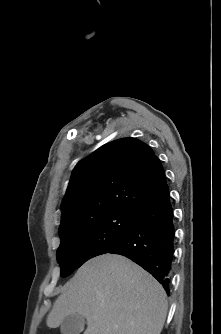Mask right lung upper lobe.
I'll list each match as a JSON object with an SVG mask.
<instances>
[{"mask_svg":"<svg viewBox=\"0 0 221 334\" xmlns=\"http://www.w3.org/2000/svg\"><path fill=\"white\" fill-rule=\"evenodd\" d=\"M165 186L162 164L148 145L135 138L109 142L75 166L61 203L59 235L97 215L135 214Z\"/></svg>","mask_w":221,"mask_h":334,"instance_id":"right-lung-upper-lobe-1","label":"right lung upper lobe"}]
</instances>
